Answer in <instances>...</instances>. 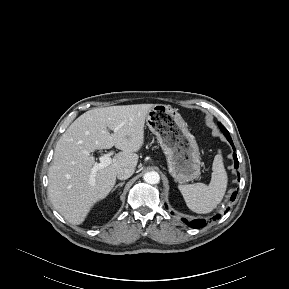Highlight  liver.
I'll use <instances>...</instances> for the list:
<instances>
[{"mask_svg":"<svg viewBox=\"0 0 289 289\" xmlns=\"http://www.w3.org/2000/svg\"><path fill=\"white\" fill-rule=\"evenodd\" d=\"M153 106L136 104L92 109L79 116L60 137L48 170V196L69 223L84 222L91 208L113 188L118 170L135 169L136 152L144 143L145 119ZM113 146L121 152L110 165L98 170L91 181L96 162L90 153Z\"/></svg>","mask_w":289,"mask_h":289,"instance_id":"liver-1","label":"liver"}]
</instances>
